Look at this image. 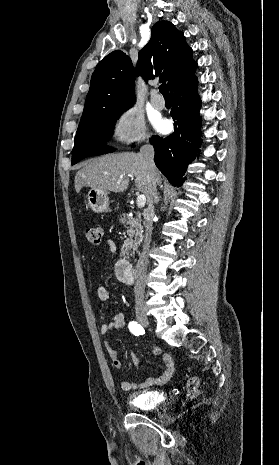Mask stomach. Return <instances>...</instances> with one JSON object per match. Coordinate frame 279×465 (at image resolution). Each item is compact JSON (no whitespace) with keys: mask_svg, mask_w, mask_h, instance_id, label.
<instances>
[{"mask_svg":"<svg viewBox=\"0 0 279 465\" xmlns=\"http://www.w3.org/2000/svg\"><path fill=\"white\" fill-rule=\"evenodd\" d=\"M87 203L90 209L95 213L110 211L109 198L105 191L93 188L90 189L87 194Z\"/></svg>","mask_w":279,"mask_h":465,"instance_id":"stomach-1","label":"stomach"}]
</instances>
